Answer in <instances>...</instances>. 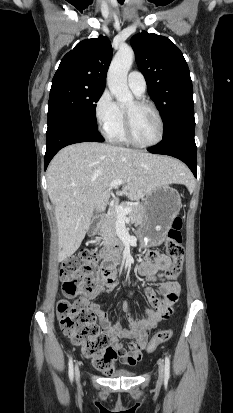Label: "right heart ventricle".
<instances>
[{
    "instance_id": "obj_1",
    "label": "right heart ventricle",
    "mask_w": 233,
    "mask_h": 413,
    "mask_svg": "<svg viewBox=\"0 0 233 413\" xmlns=\"http://www.w3.org/2000/svg\"><path fill=\"white\" fill-rule=\"evenodd\" d=\"M108 139L116 144H128L124 129V110L119 108V121L116 128L108 136Z\"/></svg>"
}]
</instances>
